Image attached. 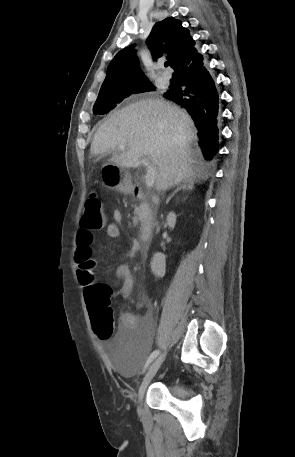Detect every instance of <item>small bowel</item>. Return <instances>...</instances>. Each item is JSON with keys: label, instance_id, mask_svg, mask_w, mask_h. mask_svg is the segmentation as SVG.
Returning <instances> with one entry per match:
<instances>
[{"label": "small bowel", "instance_id": "1", "mask_svg": "<svg viewBox=\"0 0 295 457\" xmlns=\"http://www.w3.org/2000/svg\"><path fill=\"white\" fill-rule=\"evenodd\" d=\"M114 222H111L106 227V233L111 239H119L123 234V218L119 210L113 212ZM132 246L127 252V257H134L136 253L141 249L140 243L135 237H132ZM94 241L93 232L89 229L81 227L77 234L76 239V258L83 254L87 255L93 264V268L96 264L95 261L91 260V246ZM116 277L119 280V288L117 295L120 299H126L132 292L134 286V278L127 264H120L116 269ZM80 279V277H79ZM108 288L111 286H107ZM146 303H141V306ZM155 326L154 315L151 310H147L143 315L137 316L132 313L122 312L120 314L119 323V338H125L129 334L136 332L151 333Z\"/></svg>", "mask_w": 295, "mask_h": 457}]
</instances>
